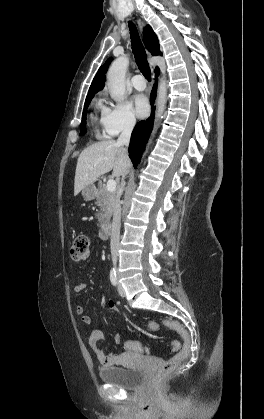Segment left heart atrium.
<instances>
[{"label": "left heart atrium", "instance_id": "obj_1", "mask_svg": "<svg viewBox=\"0 0 264 419\" xmlns=\"http://www.w3.org/2000/svg\"><path fill=\"white\" fill-rule=\"evenodd\" d=\"M135 112L139 117H144L148 113V100L144 95H136L134 97Z\"/></svg>", "mask_w": 264, "mask_h": 419}]
</instances>
